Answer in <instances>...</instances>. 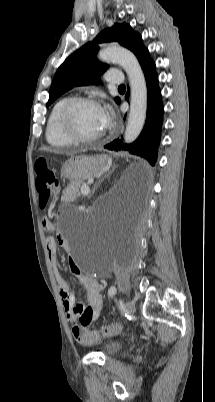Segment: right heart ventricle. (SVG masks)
Listing matches in <instances>:
<instances>
[{
	"label": "right heart ventricle",
	"instance_id": "right-heart-ventricle-1",
	"mask_svg": "<svg viewBox=\"0 0 215 402\" xmlns=\"http://www.w3.org/2000/svg\"><path fill=\"white\" fill-rule=\"evenodd\" d=\"M69 99H71L70 96L60 98L54 103L50 110L46 124V140L53 147L63 148L73 144V142L64 135L59 123L61 109Z\"/></svg>",
	"mask_w": 215,
	"mask_h": 402
}]
</instances>
